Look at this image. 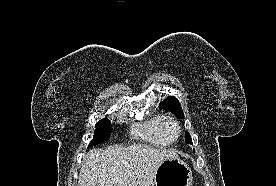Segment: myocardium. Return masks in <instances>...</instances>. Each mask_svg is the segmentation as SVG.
Masks as SVG:
<instances>
[{"mask_svg":"<svg viewBox=\"0 0 276 186\" xmlns=\"http://www.w3.org/2000/svg\"><path fill=\"white\" fill-rule=\"evenodd\" d=\"M169 126H173L176 129L177 134H176L175 138H171L168 135L167 128ZM160 130H161V134L164 137V139L169 143L176 142L181 135V127H180L178 121L174 117L169 116V115L162 117L161 124H160Z\"/></svg>","mask_w":276,"mask_h":186,"instance_id":"f54148a6","label":"myocardium"}]
</instances>
